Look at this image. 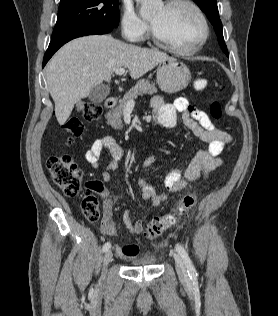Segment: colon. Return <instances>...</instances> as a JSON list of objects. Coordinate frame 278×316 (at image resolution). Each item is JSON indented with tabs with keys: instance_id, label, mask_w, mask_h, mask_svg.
Wrapping results in <instances>:
<instances>
[{
	"instance_id": "5ec220e1",
	"label": "colon",
	"mask_w": 278,
	"mask_h": 316,
	"mask_svg": "<svg viewBox=\"0 0 278 316\" xmlns=\"http://www.w3.org/2000/svg\"><path fill=\"white\" fill-rule=\"evenodd\" d=\"M206 79H197L194 82V89L202 91L207 87ZM77 113L86 121L97 120L101 115V110L94 105L81 102L77 105ZM210 113L213 118L219 119L222 114L219 102L214 101L210 106ZM64 128L69 135V141L79 137L83 132V123L78 116L70 117L64 124ZM47 169L53 183L67 197H76L82 191L81 170L76 162L67 155L53 156L47 160ZM87 190L82 195L81 208L85 217L90 222H97L100 219V209L95 191L101 189V184L97 181H90L85 184ZM196 204V196L193 193L184 195L178 202L176 209L169 214L154 217L146 228V236L149 239H155L161 236L165 231L173 227L184 217ZM123 253L134 256L138 253V247L135 244L125 245Z\"/></svg>"
}]
</instances>
